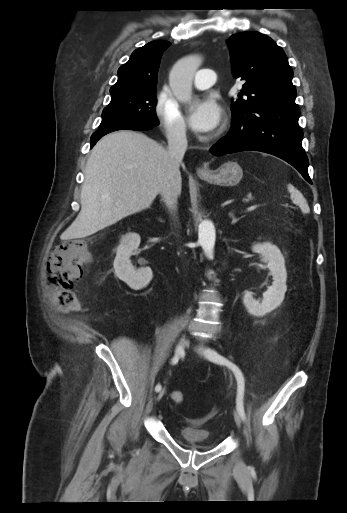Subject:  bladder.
Here are the masks:
<instances>
[{
  "label": "bladder",
  "instance_id": "obj_1",
  "mask_svg": "<svg viewBox=\"0 0 347 513\" xmlns=\"http://www.w3.org/2000/svg\"><path fill=\"white\" fill-rule=\"evenodd\" d=\"M180 437L184 444L200 450L209 451L218 446V442L211 437V433L206 428H197L195 426H184L180 430Z\"/></svg>",
  "mask_w": 347,
  "mask_h": 513
}]
</instances>
